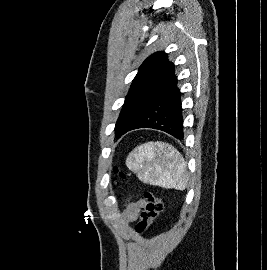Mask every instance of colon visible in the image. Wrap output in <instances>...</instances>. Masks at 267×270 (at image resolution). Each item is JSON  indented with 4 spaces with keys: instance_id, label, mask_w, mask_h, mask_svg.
<instances>
[{
    "instance_id": "1",
    "label": "colon",
    "mask_w": 267,
    "mask_h": 270,
    "mask_svg": "<svg viewBox=\"0 0 267 270\" xmlns=\"http://www.w3.org/2000/svg\"><path fill=\"white\" fill-rule=\"evenodd\" d=\"M115 172H117L121 178L126 177V174L119 171L117 168L115 169ZM162 211L163 201L161 197L152 191H146L145 204L138 215V222L136 225L137 232H146Z\"/></svg>"
}]
</instances>
